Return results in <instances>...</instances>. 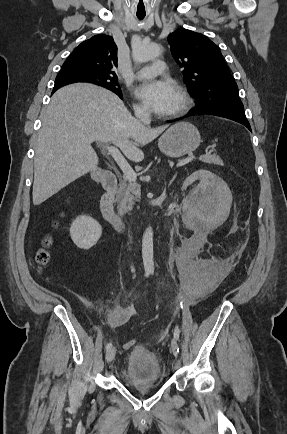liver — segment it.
Listing matches in <instances>:
<instances>
[{"mask_svg":"<svg viewBox=\"0 0 287 434\" xmlns=\"http://www.w3.org/2000/svg\"><path fill=\"white\" fill-rule=\"evenodd\" d=\"M164 127L150 128L134 118L114 93L91 84H72L54 93L42 114L34 158L33 204L40 205L90 171L99 159L95 140L113 143L135 162L139 146L157 138Z\"/></svg>","mask_w":287,"mask_h":434,"instance_id":"liver-1","label":"liver"}]
</instances>
